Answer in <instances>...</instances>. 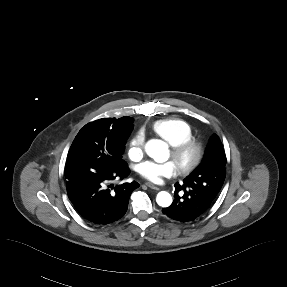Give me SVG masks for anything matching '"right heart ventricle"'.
<instances>
[{
  "instance_id": "obj_1",
  "label": "right heart ventricle",
  "mask_w": 287,
  "mask_h": 287,
  "mask_svg": "<svg viewBox=\"0 0 287 287\" xmlns=\"http://www.w3.org/2000/svg\"><path fill=\"white\" fill-rule=\"evenodd\" d=\"M151 130L171 147L193 138L191 125L181 118L157 120L151 125Z\"/></svg>"
}]
</instances>
